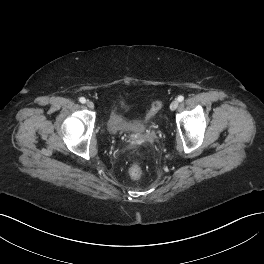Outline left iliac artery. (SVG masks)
Returning <instances> with one entry per match:
<instances>
[{
    "instance_id": "1",
    "label": "left iliac artery",
    "mask_w": 264,
    "mask_h": 264,
    "mask_svg": "<svg viewBox=\"0 0 264 264\" xmlns=\"http://www.w3.org/2000/svg\"><path fill=\"white\" fill-rule=\"evenodd\" d=\"M177 100H178L179 102H182V101L184 100V96H182V95L178 96Z\"/></svg>"
}]
</instances>
